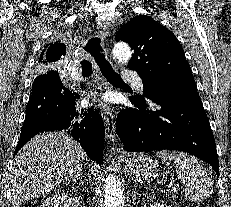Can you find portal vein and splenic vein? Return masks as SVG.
Here are the masks:
<instances>
[{"label":"portal vein and splenic vein","instance_id":"portal-vein-and-splenic-vein-1","mask_svg":"<svg viewBox=\"0 0 231 207\" xmlns=\"http://www.w3.org/2000/svg\"><path fill=\"white\" fill-rule=\"evenodd\" d=\"M168 187H169V188L171 187V190H172V191H175V190H176V187H174V186L169 185Z\"/></svg>","mask_w":231,"mask_h":207}]
</instances>
